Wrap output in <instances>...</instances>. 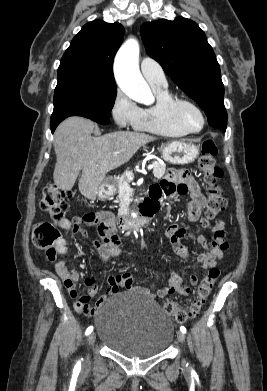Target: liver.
I'll return each instance as SVG.
<instances>
[{"mask_svg": "<svg viewBox=\"0 0 267 391\" xmlns=\"http://www.w3.org/2000/svg\"><path fill=\"white\" fill-rule=\"evenodd\" d=\"M94 128L91 120L74 116L64 120L54 134V184L69 191L82 171L78 187L88 199L96 198L108 172L128 162L140 147L155 140L151 135L129 131L92 137Z\"/></svg>", "mask_w": 267, "mask_h": 391, "instance_id": "1", "label": "liver"}]
</instances>
